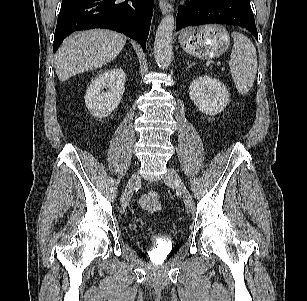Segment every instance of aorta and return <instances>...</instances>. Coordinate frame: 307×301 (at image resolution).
I'll use <instances>...</instances> for the list:
<instances>
[{
	"label": "aorta",
	"instance_id": "obj_1",
	"mask_svg": "<svg viewBox=\"0 0 307 301\" xmlns=\"http://www.w3.org/2000/svg\"><path fill=\"white\" fill-rule=\"evenodd\" d=\"M175 18L173 14L166 15L160 22L154 41V57L159 68L165 69L172 58V34Z\"/></svg>",
	"mask_w": 307,
	"mask_h": 301
}]
</instances>
